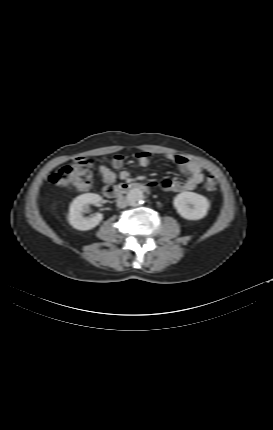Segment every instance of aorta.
<instances>
[{
	"label": "aorta",
	"mask_w": 273,
	"mask_h": 430,
	"mask_svg": "<svg viewBox=\"0 0 273 430\" xmlns=\"http://www.w3.org/2000/svg\"><path fill=\"white\" fill-rule=\"evenodd\" d=\"M144 198L143 192L138 189V188H134L131 189L128 194H127V202L130 206H138L142 203Z\"/></svg>",
	"instance_id": "obj_1"
}]
</instances>
